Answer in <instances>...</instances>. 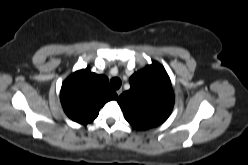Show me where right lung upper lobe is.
<instances>
[{
    "mask_svg": "<svg viewBox=\"0 0 248 165\" xmlns=\"http://www.w3.org/2000/svg\"><path fill=\"white\" fill-rule=\"evenodd\" d=\"M117 98L109 87L108 78L89 69L73 73L63 82L60 92L61 104L67 116L83 125L92 122L105 103Z\"/></svg>",
    "mask_w": 248,
    "mask_h": 165,
    "instance_id": "right-lung-upper-lobe-1",
    "label": "right lung upper lobe"
}]
</instances>
